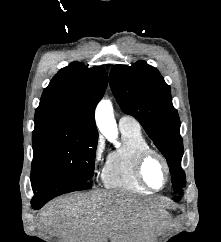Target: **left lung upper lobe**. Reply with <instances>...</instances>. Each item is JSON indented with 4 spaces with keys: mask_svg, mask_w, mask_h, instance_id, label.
Segmentation results:
<instances>
[{
    "mask_svg": "<svg viewBox=\"0 0 221 242\" xmlns=\"http://www.w3.org/2000/svg\"><path fill=\"white\" fill-rule=\"evenodd\" d=\"M109 82L122 111L140 122L165 156L173 175V188L176 192H182V187L186 185L185 173L181 168L183 143L170 87L159 71L145 61H138L132 66L115 65Z\"/></svg>",
    "mask_w": 221,
    "mask_h": 242,
    "instance_id": "obj_1",
    "label": "left lung upper lobe"
}]
</instances>
